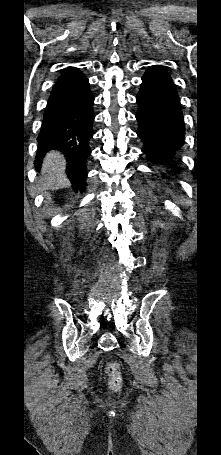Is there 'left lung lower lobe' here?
<instances>
[{
  "mask_svg": "<svg viewBox=\"0 0 221 455\" xmlns=\"http://www.w3.org/2000/svg\"><path fill=\"white\" fill-rule=\"evenodd\" d=\"M142 81L136 96L137 134L144 142L142 151L157 164L165 165L173 161L184 143L180 100L170 75L163 68L150 67Z\"/></svg>",
  "mask_w": 221,
  "mask_h": 455,
  "instance_id": "0a47b994",
  "label": "left lung lower lobe"
}]
</instances>
